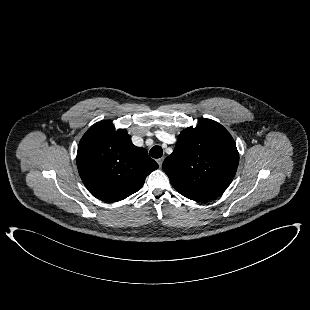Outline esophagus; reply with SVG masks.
Wrapping results in <instances>:
<instances>
[{
  "instance_id": "1",
  "label": "esophagus",
  "mask_w": 310,
  "mask_h": 310,
  "mask_svg": "<svg viewBox=\"0 0 310 310\" xmlns=\"http://www.w3.org/2000/svg\"><path fill=\"white\" fill-rule=\"evenodd\" d=\"M163 160H164V158L157 159V163H158L159 167L162 166Z\"/></svg>"
}]
</instances>
